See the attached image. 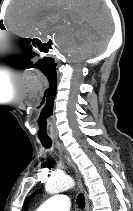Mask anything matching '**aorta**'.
<instances>
[{"mask_svg": "<svg viewBox=\"0 0 133 211\" xmlns=\"http://www.w3.org/2000/svg\"><path fill=\"white\" fill-rule=\"evenodd\" d=\"M74 180L67 175H56L51 177L45 184V190L49 194H56L72 188Z\"/></svg>", "mask_w": 133, "mask_h": 211, "instance_id": "aorta-1", "label": "aorta"}]
</instances>
